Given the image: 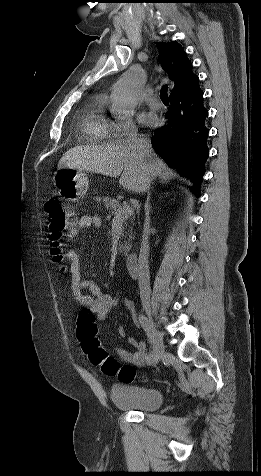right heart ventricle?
<instances>
[{"instance_id": "obj_1", "label": "right heart ventricle", "mask_w": 261, "mask_h": 476, "mask_svg": "<svg viewBox=\"0 0 261 476\" xmlns=\"http://www.w3.org/2000/svg\"><path fill=\"white\" fill-rule=\"evenodd\" d=\"M83 131L90 142H102L111 137V123L107 119L101 97L93 100L83 118Z\"/></svg>"}]
</instances>
